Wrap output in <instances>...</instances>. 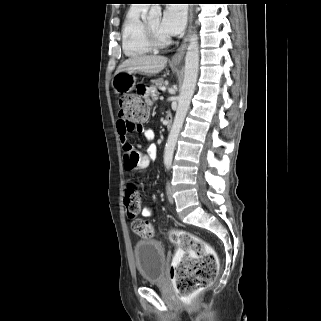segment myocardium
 Returning a JSON list of instances; mask_svg holds the SVG:
<instances>
[{"label": "myocardium", "mask_w": 321, "mask_h": 321, "mask_svg": "<svg viewBox=\"0 0 321 321\" xmlns=\"http://www.w3.org/2000/svg\"><path fill=\"white\" fill-rule=\"evenodd\" d=\"M144 36L149 46L152 47L153 49L166 48L172 43V40L170 37L159 38L154 33V31L152 30V28L150 27L147 21L144 22Z\"/></svg>", "instance_id": "1"}]
</instances>
